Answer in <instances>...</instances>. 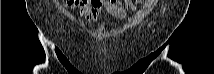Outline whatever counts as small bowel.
Returning a JSON list of instances; mask_svg holds the SVG:
<instances>
[{"label": "small bowel", "mask_w": 214, "mask_h": 74, "mask_svg": "<svg viewBox=\"0 0 214 74\" xmlns=\"http://www.w3.org/2000/svg\"><path fill=\"white\" fill-rule=\"evenodd\" d=\"M125 4L129 10H135L132 1H126ZM70 6L73 8L78 7L81 17H83L89 24L96 23L103 12L116 17H124L126 15L124 8L116 2L101 0L71 1Z\"/></svg>", "instance_id": "obj_1"}]
</instances>
